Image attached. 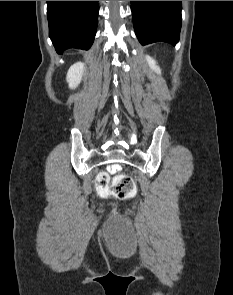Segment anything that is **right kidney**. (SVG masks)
Returning a JSON list of instances; mask_svg holds the SVG:
<instances>
[{
	"label": "right kidney",
	"instance_id": "obj_1",
	"mask_svg": "<svg viewBox=\"0 0 233 295\" xmlns=\"http://www.w3.org/2000/svg\"><path fill=\"white\" fill-rule=\"evenodd\" d=\"M83 73L84 64L81 62L75 63L69 68L66 79L71 89H74L79 85Z\"/></svg>",
	"mask_w": 233,
	"mask_h": 295
}]
</instances>
